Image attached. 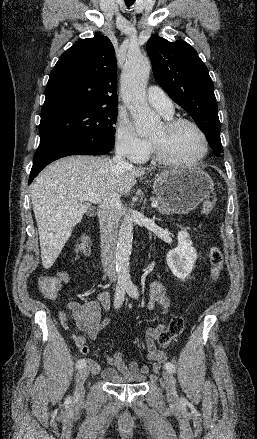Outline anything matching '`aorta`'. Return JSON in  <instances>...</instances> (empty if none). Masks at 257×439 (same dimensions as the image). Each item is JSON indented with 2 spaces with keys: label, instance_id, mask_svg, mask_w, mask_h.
<instances>
[{
  "label": "aorta",
  "instance_id": "obj_1",
  "mask_svg": "<svg viewBox=\"0 0 257 439\" xmlns=\"http://www.w3.org/2000/svg\"><path fill=\"white\" fill-rule=\"evenodd\" d=\"M150 70V61L145 56L140 53H129L121 76L122 98L140 136L152 133L160 122V117L150 109L146 101ZM132 240L133 219L127 214L120 225L116 249L117 278L118 282L124 285L131 284L129 261Z\"/></svg>",
  "mask_w": 257,
  "mask_h": 439
}]
</instances>
